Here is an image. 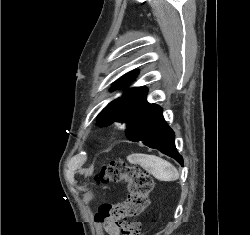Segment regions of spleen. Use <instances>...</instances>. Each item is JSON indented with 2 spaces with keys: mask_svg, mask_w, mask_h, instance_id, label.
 Instances as JSON below:
<instances>
[{
  "mask_svg": "<svg viewBox=\"0 0 250 235\" xmlns=\"http://www.w3.org/2000/svg\"><path fill=\"white\" fill-rule=\"evenodd\" d=\"M130 163L139 164L156 179L161 181H175L179 178L178 170L168 161L147 154H132L128 157Z\"/></svg>",
  "mask_w": 250,
  "mask_h": 235,
  "instance_id": "1",
  "label": "spleen"
}]
</instances>
